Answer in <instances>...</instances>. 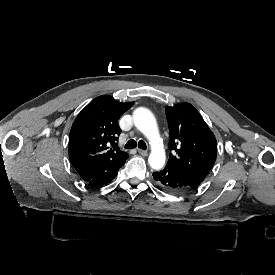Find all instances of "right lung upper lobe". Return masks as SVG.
<instances>
[{"label":"right lung upper lobe","mask_w":275,"mask_h":275,"mask_svg":"<svg viewBox=\"0 0 275 275\" xmlns=\"http://www.w3.org/2000/svg\"><path fill=\"white\" fill-rule=\"evenodd\" d=\"M132 104L102 95L78 114L69 136V158L76 170L102 162L119 163L129 157L116 141L121 133L118 120Z\"/></svg>","instance_id":"right-lung-upper-lobe-1"}]
</instances>
